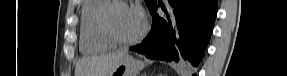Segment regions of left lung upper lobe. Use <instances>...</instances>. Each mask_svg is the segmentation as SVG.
I'll return each mask as SVG.
<instances>
[{
    "instance_id": "1",
    "label": "left lung upper lobe",
    "mask_w": 287,
    "mask_h": 76,
    "mask_svg": "<svg viewBox=\"0 0 287 76\" xmlns=\"http://www.w3.org/2000/svg\"><path fill=\"white\" fill-rule=\"evenodd\" d=\"M150 10L154 4H156L157 0H144Z\"/></svg>"
}]
</instances>
